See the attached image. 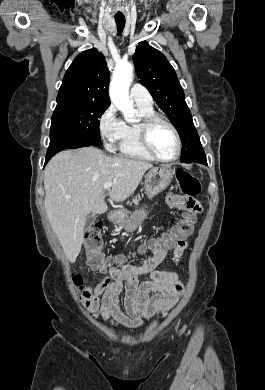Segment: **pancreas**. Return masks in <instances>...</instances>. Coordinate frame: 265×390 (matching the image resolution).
Masks as SVG:
<instances>
[{
  "label": "pancreas",
  "mask_w": 265,
  "mask_h": 390,
  "mask_svg": "<svg viewBox=\"0 0 265 390\" xmlns=\"http://www.w3.org/2000/svg\"><path fill=\"white\" fill-rule=\"evenodd\" d=\"M139 200H140V197L138 196V197H135L133 200H132V202L134 203V204H138L139 203ZM127 211H125V213H126Z\"/></svg>",
  "instance_id": "pancreas-1"
}]
</instances>
